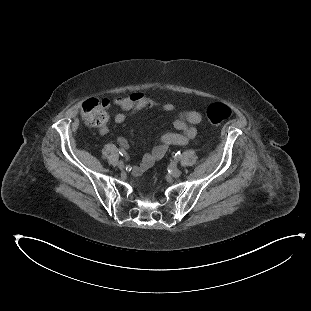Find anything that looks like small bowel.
I'll return each mask as SVG.
<instances>
[{
  "mask_svg": "<svg viewBox=\"0 0 311 311\" xmlns=\"http://www.w3.org/2000/svg\"><path fill=\"white\" fill-rule=\"evenodd\" d=\"M111 106H117L123 112L117 113L114 116L116 124L123 123L129 116L135 113L153 108H161L164 112L173 113L175 107L171 103H160L153 98L146 96L143 93H134L125 97H116L108 99ZM202 116L197 111H185L178 114L174 121V127L179 132H167L161 135L160 144L155 146L151 151L144 154L143 158L136 167V173L141 174L148 170L157 161L161 160L171 146L187 145L194 141L197 136V125L201 124ZM101 135H106L109 132L108 126L103 123L99 126ZM119 143L126 146L127 142L124 136H119Z\"/></svg>",
  "mask_w": 311,
  "mask_h": 311,
  "instance_id": "obj_1",
  "label": "small bowel"
}]
</instances>
